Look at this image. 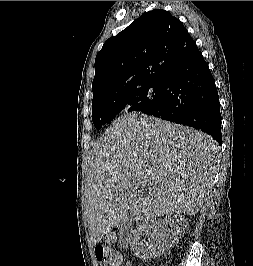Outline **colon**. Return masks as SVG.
I'll list each match as a JSON object with an SVG mask.
<instances>
[{"mask_svg": "<svg viewBox=\"0 0 253 266\" xmlns=\"http://www.w3.org/2000/svg\"><path fill=\"white\" fill-rule=\"evenodd\" d=\"M95 257L99 266H119L121 262L119 252L107 245H98L95 249Z\"/></svg>", "mask_w": 253, "mask_h": 266, "instance_id": "colon-1", "label": "colon"}]
</instances>
